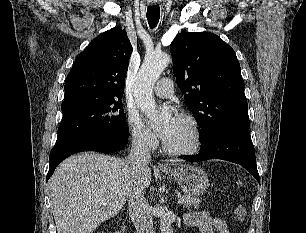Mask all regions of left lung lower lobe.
I'll return each mask as SVG.
<instances>
[{
    "instance_id": "1",
    "label": "left lung lower lobe",
    "mask_w": 306,
    "mask_h": 233,
    "mask_svg": "<svg viewBox=\"0 0 306 233\" xmlns=\"http://www.w3.org/2000/svg\"><path fill=\"white\" fill-rule=\"evenodd\" d=\"M201 144L199 154L186 156L184 159L188 161H202L217 158L234 162L248 170L260 183L254 146L249 129L221 131Z\"/></svg>"
}]
</instances>
